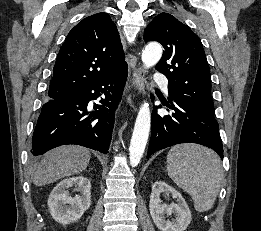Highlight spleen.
<instances>
[{
  "instance_id": "obj_1",
  "label": "spleen",
  "mask_w": 261,
  "mask_h": 231,
  "mask_svg": "<svg viewBox=\"0 0 261 231\" xmlns=\"http://www.w3.org/2000/svg\"><path fill=\"white\" fill-rule=\"evenodd\" d=\"M167 171L175 184L192 196L197 211L213 206L223 178L215 152L196 144L174 146L167 155Z\"/></svg>"
}]
</instances>
